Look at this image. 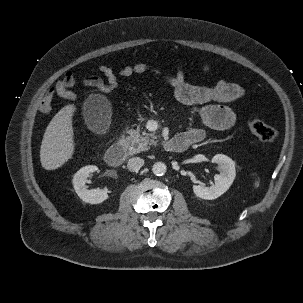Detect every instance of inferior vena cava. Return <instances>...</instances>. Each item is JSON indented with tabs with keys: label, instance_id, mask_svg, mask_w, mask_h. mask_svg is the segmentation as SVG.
Returning a JSON list of instances; mask_svg holds the SVG:
<instances>
[{
	"label": "inferior vena cava",
	"instance_id": "inferior-vena-cava-1",
	"mask_svg": "<svg viewBox=\"0 0 303 303\" xmlns=\"http://www.w3.org/2000/svg\"><path fill=\"white\" fill-rule=\"evenodd\" d=\"M144 164V160L139 157H133L128 160L127 167L132 172H137Z\"/></svg>",
	"mask_w": 303,
	"mask_h": 303
}]
</instances>
